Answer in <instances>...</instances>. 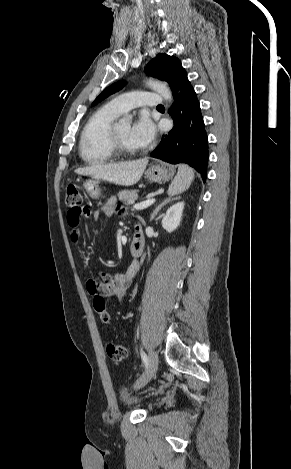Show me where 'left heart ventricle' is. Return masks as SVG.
<instances>
[{
  "label": "left heart ventricle",
  "instance_id": "obj_1",
  "mask_svg": "<svg viewBox=\"0 0 291 469\" xmlns=\"http://www.w3.org/2000/svg\"><path fill=\"white\" fill-rule=\"evenodd\" d=\"M117 130L121 141L126 147L131 149H138V147L131 140V126L129 124H118Z\"/></svg>",
  "mask_w": 291,
  "mask_h": 469
}]
</instances>
